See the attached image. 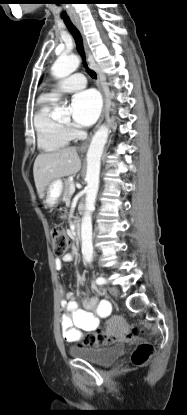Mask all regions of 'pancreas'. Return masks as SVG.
<instances>
[{
    "mask_svg": "<svg viewBox=\"0 0 187 415\" xmlns=\"http://www.w3.org/2000/svg\"><path fill=\"white\" fill-rule=\"evenodd\" d=\"M72 180L70 178H67L64 182V193H63V201L68 202L71 194H70V186L72 185Z\"/></svg>",
    "mask_w": 187,
    "mask_h": 415,
    "instance_id": "obj_1",
    "label": "pancreas"
}]
</instances>
